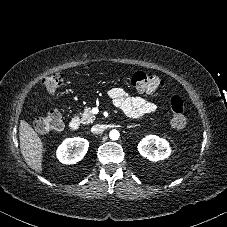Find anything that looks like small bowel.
I'll use <instances>...</instances> for the list:
<instances>
[{"label": "small bowel", "instance_id": "c3829d8e", "mask_svg": "<svg viewBox=\"0 0 227 227\" xmlns=\"http://www.w3.org/2000/svg\"><path fill=\"white\" fill-rule=\"evenodd\" d=\"M108 96L112 99L114 105L130 118H142L157 109L156 103L144 97L131 96L121 88L109 89Z\"/></svg>", "mask_w": 227, "mask_h": 227}]
</instances>
